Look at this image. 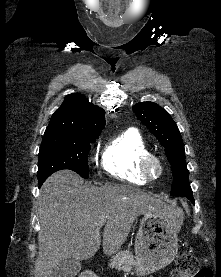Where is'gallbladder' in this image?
Here are the masks:
<instances>
[{"instance_id": "1", "label": "gallbladder", "mask_w": 221, "mask_h": 277, "mask_svg": "<svg viewBox=\"0 0 221 277\" xmlns=\"http://www.w3.org/2000/svg\"><path fill=\"white\" fill-rule=\"evenodd\" d=\"M81 270V262L75 259L61 261L50 277H75Z\"/></svg>"}]
</instances>
